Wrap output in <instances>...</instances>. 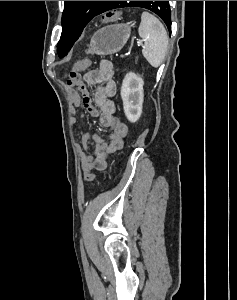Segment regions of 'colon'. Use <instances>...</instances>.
<instances>
[{"label": "colon", "mask_w": 237, "mask_h": 300, "mask_svg": "<svg viewBox=\"0 0 237 300\" xmlns=\"http://www.w3.org/2000/svg\"><path fill=\"white\" fill-rule=\"evenodd\" d=\"M120 18V13L117 11H110L106 13L102 17V22H113ZM90 65L89 59H84L78 61L68 76V85L70 86H77L80 83V74L79 72L86 69ZM96 175L94 173H86L84 179L86 181H93L95 180Z\"/></svg>", "instance_id": "colon-1"}]
</instances>
